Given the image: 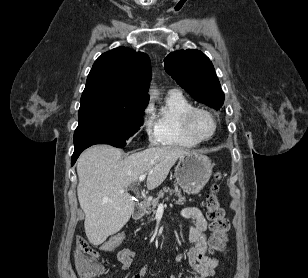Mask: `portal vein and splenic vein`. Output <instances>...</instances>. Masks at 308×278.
I'll list each match as a JSON object with an SVG mask.
<instances>
[{"label": "portal vein and splenic vein", "instance_id": "18ae733b", "mask_svg": "<svg viewBox=\"0 0 308 278\" xmlns=\"http://www.w3.org/2000/svg\"><path fill=\"white\" fill-rule=\"evenodd\" d=\"M146 176H147V174H141V175L139 176V181H140V182L144 181L145 178H146ZM119 192H120V193H123V192H125V190H120ZM160 205H161V204H160Z\"/></svg>", "mask_w": 308, "mask_h": 278}]
</instances>
